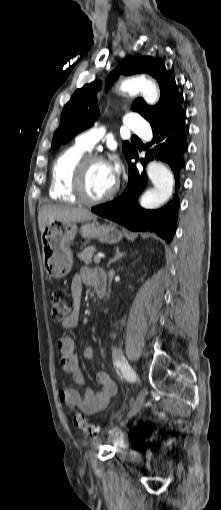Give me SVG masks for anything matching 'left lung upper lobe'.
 <instances>
[{
	"mask_svg": "<svg viewBox=\"0 0 221 510\" xmlns=\"http://www.w3.org/2000/svg\"><path fill=\"white\" fill-rule=\"evenodd\" d=\"M120 73L126 75L147 73L157 80L161 91L158 104L149 107L142 98H137L131 106L133 111L140 113L150 124L184 112L180 105L183 96L177 91L175 80L168 75L161 61L150 56L128 58L111 72L107 82L111 84ZM100 86V81H94L73 94L62 111L60 126L53 136V149H58L60 145L70 141L77 133L90 127L98 119L100 111L97 91ZM134 152L136 148L132 144L128 141L123 142V153L126 159Z\"/></svg>",
	"mask_w": 221,
	"mask_h": 510,
	"instance_id": "5c2ea615",
	"label": "left lung upper lobe"
}]
</instances>
